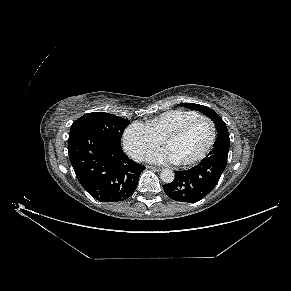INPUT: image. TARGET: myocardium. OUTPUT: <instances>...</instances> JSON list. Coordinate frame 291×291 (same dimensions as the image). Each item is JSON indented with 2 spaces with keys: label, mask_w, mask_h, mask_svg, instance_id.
<instances>
[{
  "label": "myocardium",
  "mask_w": 291,
  "mask_h": 291,
  "mask_svg": "<svg viewBox=\"0 0 291 291\" xmlns=\"http://www.w3.org/2000/svg\"><path fill=\"white\" fill-rule=\"evenodd\" d=\"M199 121H205L210 126V138H209V141H208L207 145L194 158H192L190 160H187V161H176V164L181 165V166H184V167H188V166L195 165L198 162H200L201 160H203L206 157V155L209 153V151L211 150V148L213 147V145L215 143V140H216V125H215V123L213 122L212 119H210L209 117H206V116H198V117H195L193 119H190V120L186 121L185 123L181 124L179 127H177L176 129L172 130L171 132H169L162 139V143L165 145L168 141L180 137L191 126H193L195 123H197Z\"/></svg>",
  "instance_id": "f54148a6"
}]
</instances>
